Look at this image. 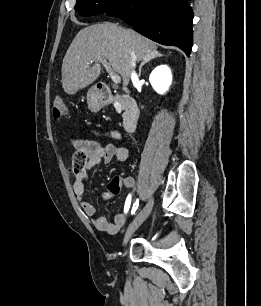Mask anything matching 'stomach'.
<instances>
[{"label":"stomach","instance_id":"1","mask_svg":"<svg viewBox=\"0 0 261 306\" xmlns=\"http://www.w3.org/2000/svg\"><path fill=\"white\" fill-rule=\"evenodd\" d=\"M87 104L88 108L96 112L100 110L103 106V100L101 95L95 90V88H91L87 93Z\"/></svg>","mask_w":261,"mask_h":306}]
</instances>
